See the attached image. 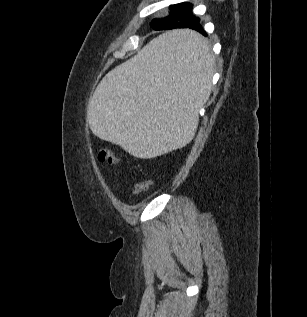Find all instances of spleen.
Here are the masks:
<instances>
[{
  "mask_svg": "<svg viewBox=\"0 0 307 317\" xmlns=\"http://www.w3.org/2000/svg\"><path fill=\"white\" fill-rule=\"evenodd\" d=\"M210 47L198 29H165L99 85L91 99L92 132L139 160L174 155L194 136L210 95Z\"/></svg>",
  "mask_w": 307,
  "mask_h": 317,
  "instance_id": "3e777b00",
  "label": "spleen"
}]
</instances>
